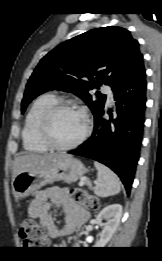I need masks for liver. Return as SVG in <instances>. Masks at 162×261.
<instances>
[{
	"instance_id": "1",
	"label": "liver",
	"mask_w": 162,
	"mask_h": 261,
	"mask_svg": "<svg viewBox=\"0 0 162 261\" xmlns=\"http://www.w3.org/2000/svg\"><path fill=\"white\" fill-rule=\"evenodd\" d=\"M66 154H25L15 159L13 165L12 181L21 172L45 170L51 167L57 160L65 157Z\"/></svg>"
}]
</instances>
